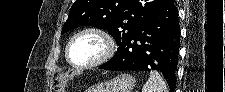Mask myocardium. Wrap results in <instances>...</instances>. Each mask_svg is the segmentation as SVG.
Here are the masks:
<instances>
[{
    "label": "myocardium",
    "mask_w": 225,
    "mask_h": 92,
    "mask_svg": "<svg viewBox=\"0 0 225 92\" xmlns=\"http://www.w3.org/2000/svg\"><path fill=\"white\" fill-rule=\"evenodd\" d=\"M85 34H93L98 36L104 43V52L103 54L97 58L96 60L89 62V63H85V64H77L75 62L72 61V59L70 58V48L73 44V42L79 38L82 35ZM116 50V46H115V42L113 37L111 36V34L99 27H87L84 28L80 31H78L76 34H74L70 40L68 41L66 48H65V57H66V61L67 63L72 66L75 69H86V68H91V67H95L98 66L106 61H108L115 53Z\"/></svg>",
    "instance_id": "1"
}]
</instances>
